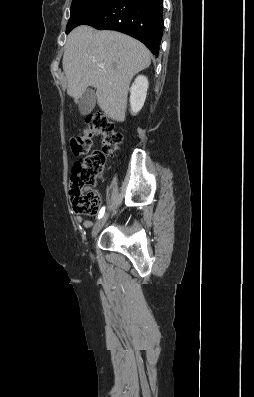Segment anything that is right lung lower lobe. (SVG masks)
I'll list each match as a JSON object with an SVG mask.
<instances>
[{
    "mask_svg": "<svg viewBox=\"0 0 254 397\" xmlns=\"http://www.w3.org/2000/svg\"><path fill=\"white\" fill-rule=\"evenodd\" d=\"M83 24L130 35L158 56L163 33V3L162 0H110Z\"/></svg>",
    "mask_w": 254,
    "mask_h": 397,
    "instance_id": "98d812e1",
    "label": "right lung lower lobe"
}]
</instances>
